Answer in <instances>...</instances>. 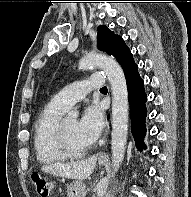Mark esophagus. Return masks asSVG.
Listing matches in <instances>:
<instances>
[{"instance_id": "1", "label": "esophagus", "mask_w": 191, "mask_h": 197, "mask_svg": "<svg viewBox=\"0 0 191 197\" xmlns=\"http://www.w3.org/2000/svg\"><path fill=\"white\" fill-rule=\"evenodd\" d=\"M98 159H99V160H106V159H108V155L105 154V153H101V154L98 156Z\"/></svg>"}]
</instances>
